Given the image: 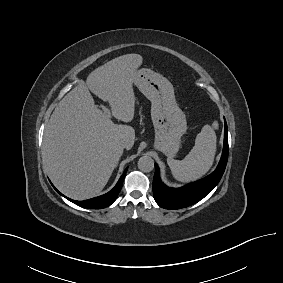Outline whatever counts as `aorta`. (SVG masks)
Returning a JSON list of instances; mask_svg holds the SVG:
<instances>
[{
    "label": "aorta",
    "mask_w": 283,
    "mask_h": 283,
    "mask_svg": "<svg viewBox=\"0 0 283 283\" xmlns=\"http://www.w3.org/2000/svg\"><path fill=\"white\" fill-rule=\"evenodd\" d=\"M138 168L142 172H151L154 169V160L150 156L144 155L138 160Z\"/></svg>",
    "instance_id": "obj_1"
}]
</instances>
